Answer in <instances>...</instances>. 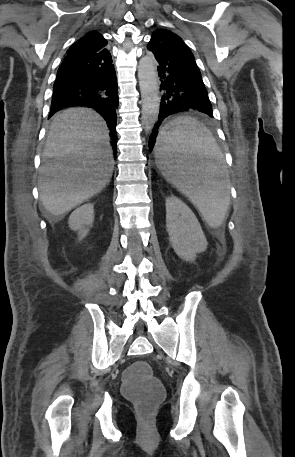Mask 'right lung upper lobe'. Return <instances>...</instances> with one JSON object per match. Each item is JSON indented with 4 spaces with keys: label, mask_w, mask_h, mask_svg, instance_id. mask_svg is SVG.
I'll use <instances>...</instances> for the list:
<instances>
[{
    "label": "right lung upper lobe",
    "mask_w": 295,
    "mask_h": 457,
    "mask_svg": "<svg viewBox=\"0 0 295 457\" xmlns=\"http://www.w3.org/2000/svg\"><path fill=\"white\" fill-rule=\"evenodd\" d=\"M107 45L106 39L97 32H90L76 41L68 50L67 56H83L96 53Z\"/></svg>",
    "instance_id": "obj_1"
}]
</instances>
